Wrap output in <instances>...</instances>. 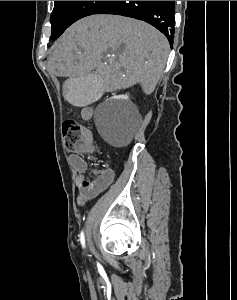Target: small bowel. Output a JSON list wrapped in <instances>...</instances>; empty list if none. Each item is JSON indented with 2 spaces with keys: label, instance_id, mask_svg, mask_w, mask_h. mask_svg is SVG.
<instances>
[{
  "label": "small bowel",
  "instance_id": "c3829d8e",
  "mask_svg": "<svg viewBox=\"0 0 237 300\" xmlns=\"http://www.w3.org/2000/svg\"><path fill=\"white\" fill-rule=\"evenodd\" d=\"M93 114V107L90 105L84 106L81 111V116L84 120H89ZM92 152V149L88 151ZM70 162L73 168L77 171L76 187H77V202L79 205L85 204L103 191H105L114 181L115 172L111 168L101 169L94 179L85 175L88 169L87 162L80 155H71Z\"/></svg>",
  "mask_w": 237,
  "mask_h": 300
}]
</instances>
